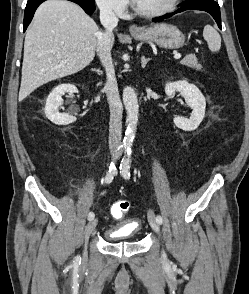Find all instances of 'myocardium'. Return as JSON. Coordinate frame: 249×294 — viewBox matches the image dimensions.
Listing matches in <instances>:
<instances>
[{
  "mask_svg": "<svg viewBox=\"0 0 249 294\" xmlns=\"http://www.w3.org/2000/svg\"><path fill=\"white\" fill-rule=\"evenodd\" d=\"M180 2H181V0H173L171 2V4L166 8H163L160 10H155V11H146V10L141 9L136 4L135 0H133V9L137 14H139L143 17H147V18L160 17V16H163V15H166V14L173 12L177 8V6L179 5Z\"/></svg>",
  "mask_w": 249,
  "mask_h": 294,
  "instance_id": "obj_1",
  "label": "myocardium"
}]
</instances>
